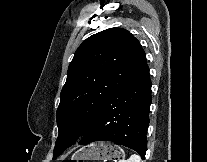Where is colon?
Masks as SVG:
<instances>
[{"instance_id":"obj_1","label":"colon","mask_w":207,"mask_h":162,"mask_svg":"<svg viewBox=\"0 0 207 162\" xmlns=\"http://www.w3.org/2000/svg\"><path fill=\"white\" fill-rule=\"evenodd\" d=\"M62 162H84L82 160H73V159H68V160H64Z\"/></svg>"}]
</instances>
